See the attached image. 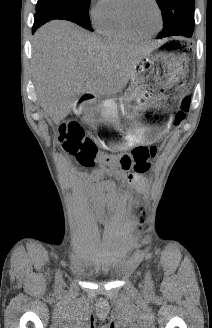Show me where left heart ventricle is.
<instances>
[{
	"label": "left heart ventricle",
	"instance_id": "left-heart-ventricle-1",
	"mask_svg": "<svg viewBox=\"0 0 212 328\" xmlns=\"http://www.w3.org/2000/svg\"><path fill=\"white\" fill-rule=\"evenodd\" d=\"M130 13L133 22L142 31L152 32L159 25V16L151 0H134Z\"/></svg>",
	"mask_w": 212,
	"mask_h": 328
}]
</instances>
